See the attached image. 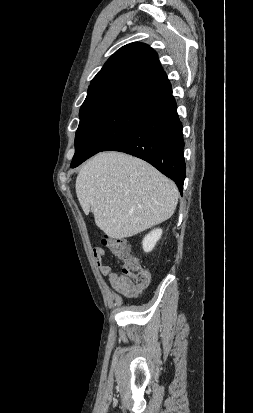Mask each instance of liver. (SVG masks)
Segmentation results:
<instances>
[{"label": "liver", "instance_id": "obj_1", "mask_svg": "<svg viewBox=\"0 0 253 413\" xmlns=\"http://www.w3.org/2000/svg\"><path fill=\"white\" fill-rule=\"evenodd\" d=\"M76 194L86 215L114 239L134 236L169 219L179 192L173 181L147 162L121 152H101L76 178Z\"/></svg>", "mask_w": 253, "mask_h": 413}]
</instances>
